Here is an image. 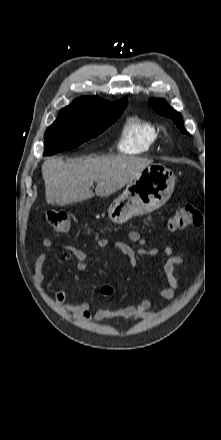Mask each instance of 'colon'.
<instances>
[{
    "label": "colon",
    "mask_w": 221,
    "mask_h": 440,
    "mask_svg": "<svg viewBox=\"0 0 221 440\" xmlns=\"http://www.w3.org/2000/svg\"><path fill=\"white\" fill-rule=\"evenodd\" d=\"M47 221L58 233H65L71 225V216L64 211L50 210L46 214ZM202 222V214L191 205L179 206L172 215L168 228L171 231H179L188 227H195ZM105 293H110L111 289L105 287Z\"/></svg>",
    "instance_id": "5ec220e1"
}]
</instances>
